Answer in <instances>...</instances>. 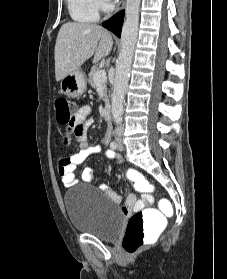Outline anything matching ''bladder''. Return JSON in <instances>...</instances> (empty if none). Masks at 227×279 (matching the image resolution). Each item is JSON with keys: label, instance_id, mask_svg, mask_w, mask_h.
Wrapping results in <instances>:
<instances>
[{"label": "bladder", "instance_id": "bladder-1", "mask_svg": "<svg viewBox=\"0 0 227 279\" xmlns=\"http://www.w3.org/2000/svg\"><path fill=\"white\" fill-rule=\"evenodd\" d=\"M87 187L68 191L63 204L72 226L79 231L99 239L114 240L123 228V216L119 205L112 202L104 192L97 191L98 197L87 193Z\"/></svg>", "mask_w": 227, "mask_h": 279}]
</instances>
